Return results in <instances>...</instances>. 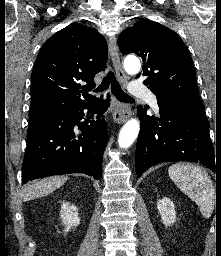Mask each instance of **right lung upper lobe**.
Masks as SVG:
<instances>
[{
  "label": "right lung upper lobe",
  "mask_w": 221,
  "mask_h": 256,
  "mask_svg": "<svg viewBox=\"0 0 221 256\" xmlns=\"http://www.w3.org/2000/svg\"><path fill=\"white\" fill-rule=\"evenodd\" d=\"M107 55L105 38L86 25L74 23L51 36L32 71L29 116L45 119L92 101L88 92L96 86V73L105 69Z\"/></svg>",
  "instance_id": "obj_1"
}]
</instances>
